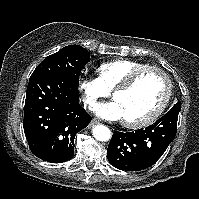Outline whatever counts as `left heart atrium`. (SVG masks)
Masks as SVG:
<instances>
[{
  "label": "left heart atrium",
  "mask_w": 199,
  "mask_h": 199,
  "mask_svg": "<svg viewBox=\"0 0 199 199\" xmlns=\"http://www.w3.org/2000/svg\"><path fill=\"white\" fill-rule=\"evenodd\" d=\"M94 112L97 116L106 120H120L123 119V113L119 104L114 100L112 102H107L99 104L94 108Z\"/></svg>",
  "instance_id": "39dd6f15"
}]
</instances>
